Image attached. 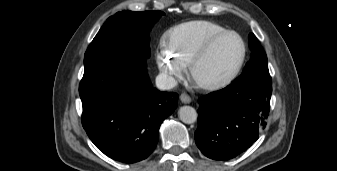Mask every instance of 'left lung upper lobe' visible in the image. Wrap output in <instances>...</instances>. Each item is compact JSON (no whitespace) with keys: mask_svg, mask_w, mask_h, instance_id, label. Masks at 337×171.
<instances>
[{"mask_svg":"<svg viewBox=\"0 0 337 171\" xmlns=\"http://www.w3.org/2000/svg\"><path fill=\"white\" fill-rule=\"evenodd\" d=\"M251 59L247 62L243 73L233 83L244 80H263L271 82L267 56L254 34L249 35Z\"/></svg>","mask_w":337,"mask_h":171,"instance_id":"obj_1","label":"left lung upper lobe"}]
</instances>
